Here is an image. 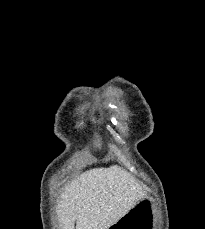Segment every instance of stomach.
Segmentation results:
<instances>
[{
	"mask_svg": "<svg viewBox=\"0 0 205 229\" xmlns=\"http://www.w3.org/2000/svg\"><path fill=\"white\" fill-rule=\"evenodd\" d=\"M155 213L148 201L133 206L125 215L112 224L109 229H154Z\"/></svg>",
	"mask_w": 205,
	"mask_h": 229,
	"instance_id": "obj_1",
	"label": "stomach"
}]
</instances>
